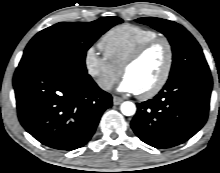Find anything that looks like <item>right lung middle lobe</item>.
<instances>
[{
  "mask_svg": "<svg viewBox=\"0 0 220 173\" xmlns=\"http://www.w3.org/2000/svg\"><path fill=\"white\" fill-rule=\"evenodd\" d=\"M122 21L118 17H103L93 22L57 23L31 39L19 66L56 64L86 74V51L102 34Z\"/></svg>",
  "mask_w": 220,
  "mask_h": 173,
  "instance_id": "1",
  "label": "right lung middle lobe"
}]
</instances>
